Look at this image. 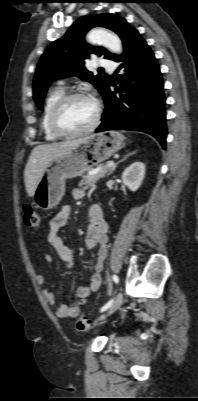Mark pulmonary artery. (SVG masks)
Masks as SVG:
<instances>
[{"instance_id":"obj_1","label":"pulmonary artery","mask_w":198,"mask_h":401,"mask_svg":"<svg viewBox=\"0 0 198 401\" xmlns=\"http://www.w3.org/2000/svg\"><path fill=\"white\" fill-rule=\"evenodd\" d=\"M98 65L111 70L115 67V63L107 58H100L98 61Z\"/></svg>"}]
</instances>
